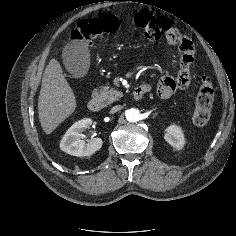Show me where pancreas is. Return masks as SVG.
<instances>
[{"mask_svg": "<svg viewBox=\"0 0 236 236\" xmlns=\"http://www.w3.org/2000/svg\"><path fill=\"white\" fill-rule=\"evenodd\" d=\"M93 95L106 106L118 100L123 94L109 86H104L100 91L95 90Z\"/></svg>", "mask_w": 236, "mask_h": 236, "instance_id": "obj_1", "label": "pancreas"}]
</instances>
